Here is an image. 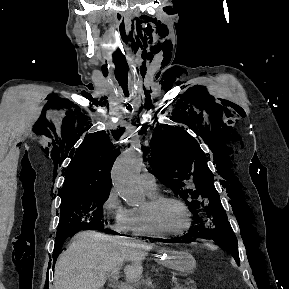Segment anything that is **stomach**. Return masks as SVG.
Returning <instances> with one entry per match:
<instances>
[{"instance_id": "stomach-1", "label": "stomach", "mask_w": 289, "mask_h": 289, "mask_svg": "<svg viewBox=\"0 0 289 289\" xmlns=\"http://www.w3.org/2000/svg\"><path fill=\"white\" fill-rule=\"evenodd\" d=\"M163 263L178 273L189 275L196 268V260L192 254L187 251H169L165 254Z\"/></svg>"}]
</instances>
